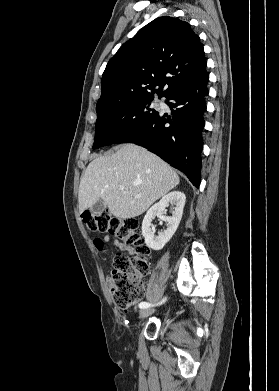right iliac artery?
I'll return each mask as SVG.
<instances>
[{"label":"right iliac artery","mask_w":279,"mask_h":391,"mask_svg":"<svg viewBox=\"0 0 279 391\" xmlns=\"http://www.w3.org/2000/svg\"><path fill=\"white\" fill-rule=\"evenodd\" d=\"M166 301V298H164L159 304H162V303H164ZM151 306V304L150 303H147V302H141L140 304H139V307L141 308V309H145V308H148V307H150Z\"/></svg>","instance_id":"1"}]
</instances>
